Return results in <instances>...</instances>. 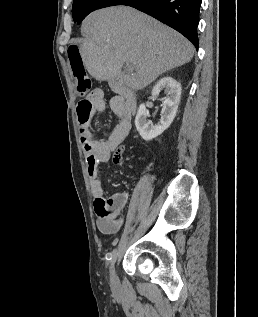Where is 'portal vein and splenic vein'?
Returning <instances> with one entry per match:
<instances>
[{
	"instance_id": "1",
	"label": "portal vein and splenic vein",
	"mask_w": 258,
	"mask_h": 317,
	"mask_svg": "<svg viewBox=\"0 0 258 317\" xmlns=\"http://www.w3.org/2000/svg\"><path fill=\"white\" fill-rule=\"evenodd\" d=\"M126 66H128V68H131V64H129V62H126Z\"/></svg>"
}]
</instances>
